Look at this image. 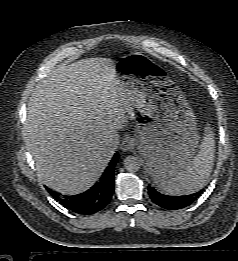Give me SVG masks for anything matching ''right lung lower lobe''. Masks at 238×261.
<instances>
[{
	"label": "right lung lower lobe",
	"mask_w": 238,
	"mask_h": 261,
	"mask_svg": "<svg viewBox=\"0 0 238 261\" xmlns=\"http://www.w3.org/2000/svg\"><path fill=\"white\" fill-rule=\"evenodd\" d=\"M117 159L116 153L100 180L89 190L74 196H61L60 193L51 191L53 197L78 214L90 215L102 210L109 204L114 192V166Z\"/></svg>",
	"instance_id": "obj_1"
}]
</instances>
